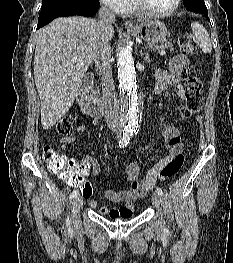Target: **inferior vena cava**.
Returning <instances> with one entry per match:
<instances>
[{"label": "inferior vena cava", "mask_w": 233, "mask_h": 263, "mask_svg": "<svg viewBox=\"0 0 233 263\" xmlns=\"http://www.w3.org/2000/svg\"><path fill=\"white\" fill-rule=\"evenodd\" d=\"M115 22L114 13L106 5L99 9V43L95 53V64L102 84V100L105 107V118L110 128H119L121 118L119 105L115 95V85L112 78L111 67L108 62L111 54L109 34L112 23Z\"/></svg>", "instance_id": "inferior-vena-cava-1"}]
</instances>
